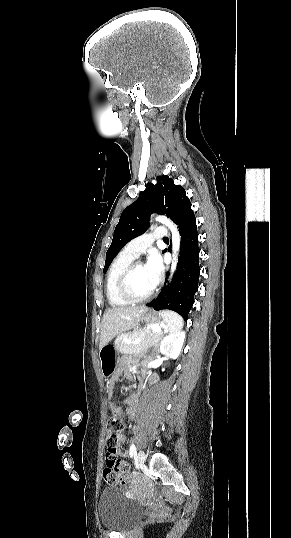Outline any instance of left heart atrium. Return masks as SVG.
Here are the masks:
<instances>
[{
	"label": "left heart atrium",
	"mask_w": 291,
	"mask_h": 538,
	"mask_svg": "<svg viewBox=\"0 0 291 538\" xmlns=\"http://www.w3.org/2000/svg\"><path fill=\"white\" fill-rule=\"evenodd\" d=\"M144 268L154 286L157 285L162 276L163 265L160 256L156 252H152L149 255Z\"/></svg>",
	"instance_id": "obj_1"
}]
</instances>
